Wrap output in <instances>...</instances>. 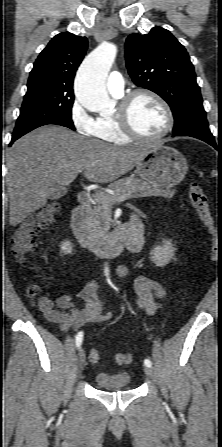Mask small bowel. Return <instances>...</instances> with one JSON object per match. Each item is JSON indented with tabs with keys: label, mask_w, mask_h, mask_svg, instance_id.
<instances>
[{
	"label": "small bowel",
	"mask_w": 222,
	"mask_h": 447,
	"mask_svg": "<svg viewBox=\"0 0 222 447\" xmlns=\"http://www.w3.org/2000/svg\"><path fill=\"white\" fill-rule=\"evenodd\" d=\"M128 269L124 265L117 267V275L126 277ZM134 291L137 305L147 314H153L161 307V301L166 297L164 286L148 277L138 276L134 281ZM44 316L53 323H58L66 331L76 329L85 324L104 323L113 318V313L104 311L102 302L97 295V284L88 282L77 293V300L70 295L59 296L55 301L43 295L33 303Z\"/></svg>",
	"instance_id": "small-bowel-1"
}]
</instances>
